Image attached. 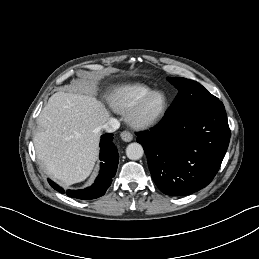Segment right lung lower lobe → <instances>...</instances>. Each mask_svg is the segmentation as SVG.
Instances as JSON below:
<instances>
[{
	"mask_svg": "<svg viewBox=\"0 0 259 259\" xmlns=\"http://www.w3.org/2000/svg\"><path fill=\"white\" fill-rule=\"evenodd\" d=\"M113 135L104 134L100 140V160L101 170L97 177L95 183L83 190H68L66 194L69 197H74L78 199H95L105 194L106 190L112 182V178L116 174L118 165V152L117 148L113 144ZM49 184L58 192L64 193V189L59 187L57 184L48 180Z\"/></svg>",
	"mask_w": 259,
	"mask_h": 259,
	"instance_id": "98d812e1",
	"label": "right lung lower lobe"
}]
</instances>
